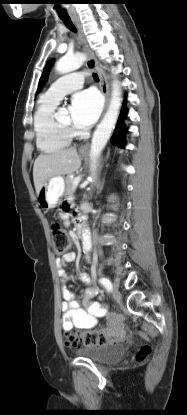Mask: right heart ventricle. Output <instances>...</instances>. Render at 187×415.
<instances>
[{"label":"right heart ventricle","mask_w":187,"mask_h":415,"mask_svg":"<svg viewBox=\"0 0 187 415\" xmlns=\"http://www.w3.org/2000/svg\"><path fill=\"white\" fill-rule=\"evenodd\" d=\"M58 101L42 96L34 114L33 125L37 147L45 153L60 151L70 144L71 137L56 123L54 111Z\"/></svg>","instance_id":"obj_1"}]
</instances>
